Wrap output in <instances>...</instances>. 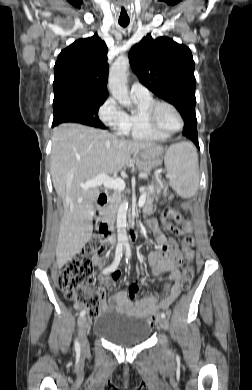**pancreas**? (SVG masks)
<instances>
[{
  "mask_svg": "<svg viewBox=\"0 0 252 390\" xmlns=\"http://www.w3.org/2000/svg\"><path fill=\"white\" fill-rule=\"evenodd\" d=\"M121 198L120 192L115 191L112 195V203L116 204ZM153 202H146L145 205L143 206V212L146 213L147 217H152L154 216V213L151 211L153 210Z\"/></svg>",
  "mask_w": 252,
  "mask_h": 390,
  "instance_id": "pancreas-1",
  "label": "pancreas"
}]
</instances>
